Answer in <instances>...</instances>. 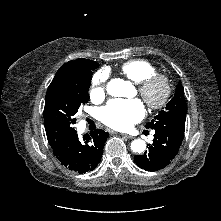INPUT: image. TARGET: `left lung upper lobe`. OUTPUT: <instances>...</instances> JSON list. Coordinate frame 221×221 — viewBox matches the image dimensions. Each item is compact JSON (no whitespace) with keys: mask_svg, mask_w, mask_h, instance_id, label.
Masks as SVG:
<instances>
[{"mask_svg":"<svg viewBox=\"0 0 221 221\" xmlns=\"http://www.w3.org/2000/svg\"><path fill=\"white\" fill-rule=\"evenodd\" d=\"M187 106L184 98V90L181 82L177 85L176 92L154 119L147 123L146 128L163 130L184 138Z\"/></svg>","mask_w":221,"mask_h":221,"instance_id":"5c2ea615","label":"left lung upper lobe"}]
</instances>
